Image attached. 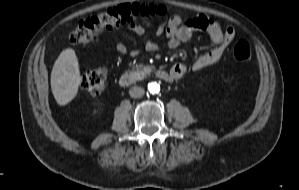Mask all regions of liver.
Instances as JSON below:
<instances>
[{
  "mask_svg": "<svg viewBox=\"0 0 299 190\" xmlns=\"http://www.w3.org/2000/svg\"><path fill=\"white\" fill-rule=\"evenodd\" d=\"M79 70L73 50H64L56 60L51 73V88L59 104L68 103L76 94Z\"/></svg>",
  "mask_w": 299,
  "mask_h": 190,
  "instance_id": "liver-1",
  "label": "liver"
}]
</instances>
